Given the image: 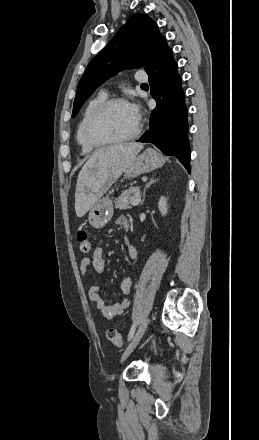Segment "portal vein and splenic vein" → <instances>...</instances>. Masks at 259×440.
<instances>
[{
  "label": "portal vein and splenic vein",
  "instance_id": "18ae733b",
  "mask_svg": "<svg viewBox=\"0 0 259 440\" xmlns=\"http://www.w3.org/2000/svg\"><path fill=\"white\" fill-rule=\"evenodd\" d=\"M140 203L139 194H136V199L133 200L132 205L137 206Z\"/></svg>",
  "mask_w": 259,
  "mask_h": 440
}]
</instances>
